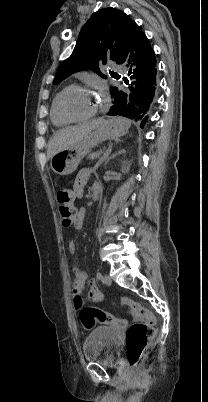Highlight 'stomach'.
<instances>
[{
    "mask_svg": "<svg viewBox=\"0 0 208 402\" xmlns=\"http://www.w3.org/2000/svg\"><path fill=\"white\" fill-rule=\"evenodd\" d=\"M129 128L130 120H126V118H109V120H105L95 132L89 134L88 138H83L81 142H76L73 146L54 154L50 160L53 172H56L59 176L72 174L84 156L89 154L91 148L98 146L105 140H117L120 136L127 134Z\"/></svg>",
    "mask_w": 208,
    "mask_h": 402,
    "instance_id": "stomach-1",
    "label": "stomach"
}]
</instances>
